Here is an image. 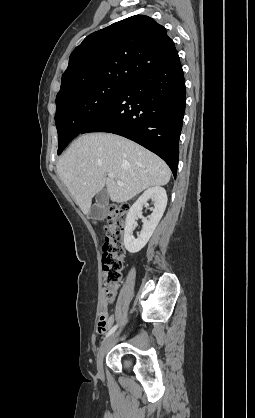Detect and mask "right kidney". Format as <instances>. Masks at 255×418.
Here are the masks:
<instances>
[{
    "mask_svg": "<svg viewBox=\"0 0 255 418\" xmlns=\"http://www.w3.org/2000/svg\"><path fill=\"white\" fill-rule=\"evenodd\" d=\"M151 199L154 209L149 220L143 221V227L137 238L132 235L136 227L137 216L141 213L143 205ZM167 205V194L164 188L155 186L147 189L130 208L124 232V245L130 253L139 252L151 238L155 228L161 220Z\"/></svg>",
    "mask_w": 255,
    "mask_h": 418,
    "instance_id": "right-kidney-1",
    "label": "right kidney"
}]
</instances>
